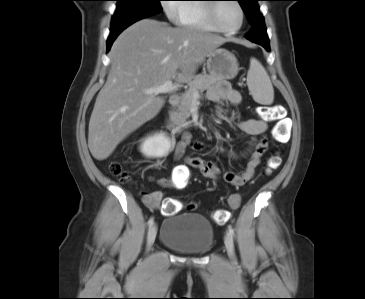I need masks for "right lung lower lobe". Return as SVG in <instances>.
Listing matches in <instances>:
<instances>
[{
	"label": "right lung lower lobe",
	"instance_id": "98d812e1",
	"mask_svg": "<svg viewBox=\"0 0 365 299\" xmlns=\"http://www.w3.org/2000/svg\"><path fill=\"white\" fill-rule=\"evenodd\" d=\"M146 17L149 16H140V17H129V18H125V19H121V20H117L112 22L111 24V30H110V35L107 39V49L108 51L110 50L113 42L115 41V39L118 37V35L127 27H129L130 25H132L133 23L144 19Z\"/></svg>",
	"mask_w": 365,
	"mask_h": 299
}]
</instances>
